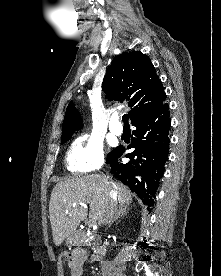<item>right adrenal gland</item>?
<instances>
[{
	"mask_svg": "<svg viewBox=\"0 0 221 276\" xmlns=\"http://www.w3.org/2000/svg\"><path fill=\"white\" fill-rule=\"evenodd\" d=\"M128 212H129V208L127 207V205L120 206L118 213L116 214V216L114 217L113 221L108 226L111 227V225L114 222L118 221V219L120 217L127 215Z\"/></svg>",
	"mask_w": 221,
	"mask_h": 276,
	"instance_id": "1",
	"label": "right adrenal gland"
}]
</instances>
